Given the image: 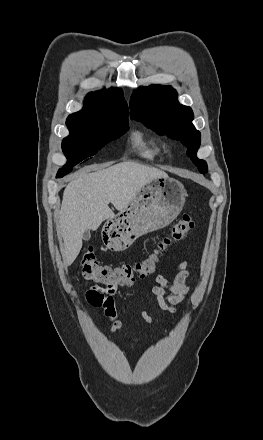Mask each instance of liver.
<instances>
[{
  "label": "liver",
  "mask_w": 263,
  "mask_h": 440,
  "mask_svg": "<svg viewBox=\"0 0 263 440\" xmlns=\"http://www.w3.org/2000/svg\"><path fill=\"white\" fill-rule=\"evenodd\" d=\"M167 173L136 162L126 161L95 172L84 170L66 186L60 210L58 230L64 244L63 261L70 266L82 248L86 230H97L114 216L108 204L124 210L147 183Z\"/></svg>",
  "instance_id": "6515ba94"
}]
</instances>
